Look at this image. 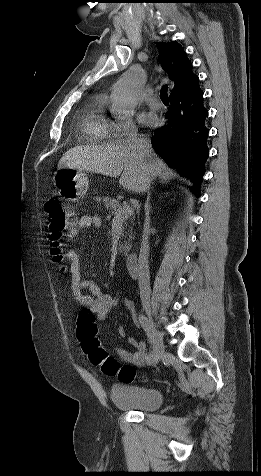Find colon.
I'll list each match as a JSON object with an SVG mask.
<instances>
[{"mask_svg": "<svg viewBox=\"0 0 261 476\" xmlns=\"http://www.w3.org/2000/svg\"><path fill=\"white\" fill-rule=\"evenodd\" d=\"M45 213L50 240V254L55 262L63 260V239L65 232L75 225L74 213L58 197L49 198L45 203ZM78 338L84 352L95 366L109 376H117L122 382H132L136 377L135 368L130 365L120 366L101 346L97 337L96 316L89 309L79 313Z\"/></svg>", "mask_w": 261, "mask_h": 476, "instance_id": "obj_1", "label": "colon"}]
</instances>
